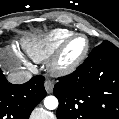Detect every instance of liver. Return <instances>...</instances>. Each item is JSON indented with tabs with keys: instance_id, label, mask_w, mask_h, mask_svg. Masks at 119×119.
I'll return each instance as SVG.
<instances>
[{
	"instance_id": "6515ba94",
	"label": "liver",
	"mask_w": 119,
	"mask_h": 119,
	"mask_svg": "<svg viewBox=\"0 0 119 119\" xmlns=\"http://www.w3.org/2000/svg\"><path fill=\"white\" fill-rule=\"evenodd\" d=\"M4 58H6V52L3 51V50H0V60H1V59H4ZM7 63H8V64H11L12 61H11V60H7ZM12 70H13V69H12Z\"/></svg>"
}]
</instances>
